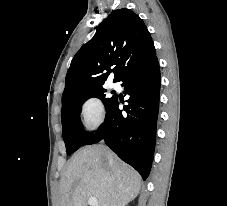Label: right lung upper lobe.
<instances>
[{"mask_svg":"<svg viewBox=\"0 0 227 206\" xmlns=\"http://www.w3.org/2000/svg\"><path fill=\"white\" fill-rule=\"evenodd\" d=\"M155 56L154 43L142 19L130 9L114 10L72 59L62 100L103 87L113 70L114 82L121 81L130 69Z\"/></svg>","mask_w":227,"mask_h":206,"instance_id":"1","label":"right lung upper lobe"}]
</instances>
